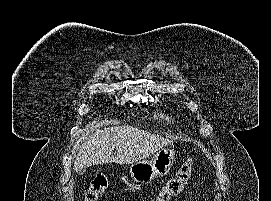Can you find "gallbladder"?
<instances>
[{
	"instance_id": "1",
	"label": "gallbladder",
	"mask_w": 271,
	"mask_h": 201,
	"mask_svg": "<svg viewBox=\"0 0 271 201\" xmlns=\"http://www.w3.org/2000/svg\"><path fill=\"white\" fill-rule=\"evenodd\" d=\"M85 169H79L78 171H77V173L79 174V175H83L84 173H85Z\"/></svg>"
}]
</instances>
